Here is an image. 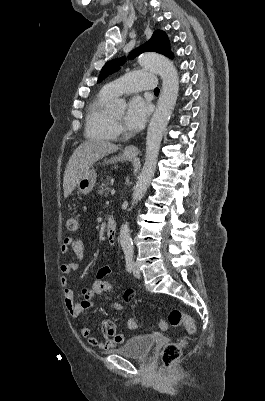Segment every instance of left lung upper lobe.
<instances>
[{"label":"left lung upper lobe","instance_id":"5c2ea615","mask_svg":"<svg viewBox=\"0 0 265 401\" xmlns=\"http://www.w3.org/2000/svg\"><path fill=\"white\" fill-rule=\"evenodd\" d=\"M147 51L157 52L169 58H173V54L171 53L169 46L168 37L166 33L161 30H156L149 41H147L142 46L134 49L130 53L129 58H134L137 55ZM124 62L125 58L113 59L112 61H108L101 70L98 82H101L109 74L117 71L119 69V65H122Z\"/></svg>","mask_w":265,"mask_h":401}]
</instances>
